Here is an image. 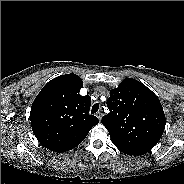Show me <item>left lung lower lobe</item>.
I'll return each mask as SVG.
<instances>
[{"mask_svg": "<svg viewBox=\"0 0 184 184\" xmlns=\"http://www.w3.org/2000/svg\"><path fill=\"white\" fill-rule=\"evenodd\" d=\"M121 152L125 153V154H128V155H139V154H136V153H133V152H129L125 149H119Z\"/></svg>", "mask_w": 184, "mask_h": 184, "instance_id": "obj_1", "label": "left lung lower lobe"}]
</instances>
